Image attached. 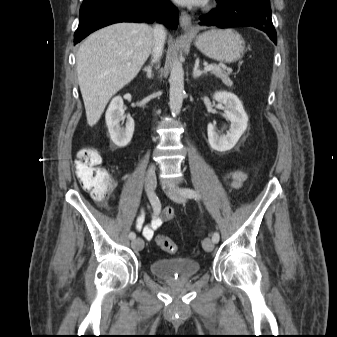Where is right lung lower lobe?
Listing matches in <instances>:
<instances>
[{"mask_svg": "<svg viewBox=\"0 0 337 337\" xmlns=\"http://www.w3.org/2000/svg\"><path fill=\"white\" fill-rule=\"evenodd\" d=\"M155 20L169 28H176L177 8L170 0H84L80 8L74 44L95 30L113 23Z\"/></svg>", "mask_w": 337, "mask_h": 337, "instance_id": "right-lung-lower-lobe-1", "label": "right lung lower lobe"}]
</instances>
